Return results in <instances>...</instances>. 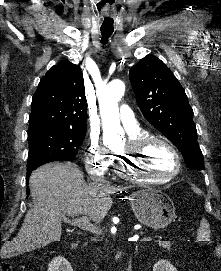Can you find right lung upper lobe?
I'll list each match as a JSON object with an SVG mask.
<instances>
[{"instance_id": "right-lung-upper-lobe-1", "label": "right lung upper lobe", "mask_w": 221, "mask_h": 271, "mask_svg": "<svg viewBox=\"0 0 221 271\" xmlns=\"http://www.w3.org/2000/svg\"><path fill=\"white\" fill-rule=\"evenodd\" d=\"M86 98L81 69L61 61L41 78L32 100L29 129L86 131Z\"/></svg>"}]
</instances>
